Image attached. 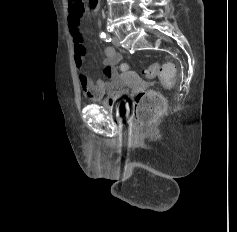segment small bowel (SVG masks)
Listing matches in <instances>:
<instances>
[{
  "label": "small bowel",
  "instance_id": "obj_1",
  "mask_svg": "<svg viewBox=\"0 0 237 232\" xmlns=\"http://www.w3.org/2000/svg\"><path fill=\"white\" fill-rule=\"evenodd\" d=\"M68 25L73 41L75 63L80 74V85L87 97L92 100H100L106 96L107 103L115 102L124 90V82L117 71V64L121 61V55L113 47L104 50L103 76L104 79L92 80L85 72V48L81 33V16L70 12Z\"/></svg>",
  "mask_w": 237,
  "mask_h": 232
}]
</instances>
